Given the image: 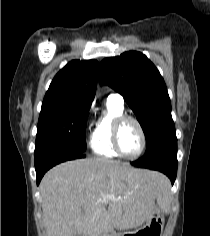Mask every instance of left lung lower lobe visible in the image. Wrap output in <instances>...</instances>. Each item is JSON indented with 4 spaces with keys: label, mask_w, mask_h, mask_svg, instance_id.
<instances>
[{
    "label": "left lung lower lobe",
    "mask_w": 210,
    "mask_h": 236,
    "mask_svg": "<svg viewBox=\"0 0 210 236\" xmlns=\"http://www.w3.org/2000/svg\"><path fill=\"white\" fill-rule=\"evenodd\" d=\"M136 167L160 171L166 174L172 185L177 174V138L176 134L160 140L139 160L132 162Z\"/></svg>",
    "instance_id": "0a47b994"
}]
</instances>
